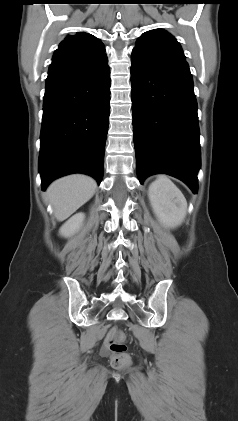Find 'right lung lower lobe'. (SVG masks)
I'll use <instances>...</instances> for the list:
<instances>
[{"label": "right lung lower lobe", "instance_id": "right-lung-lower-lobe-1", "mask_svg": "<svg viewBox=\"0 0 238 421\" xmlns=\"http://www.w3.org/2000/svg\"><path fill=\"white\" fill-rule=\"evenodd\" d=\"M107 56L52 62L46 79L39 172L42 189L54 179L84 173L103 178L110 114Z\"/></svg>", "mask_w": 238, "mask_h": 421}]
</instances>
